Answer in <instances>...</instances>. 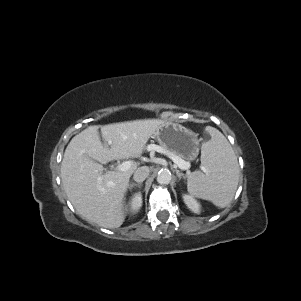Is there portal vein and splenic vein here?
I'll return each mask as SVG.
<instances>
[{
    "label": "portal vein and splenic vein",
    "mask_w": 301,
    "mask_h": 301,
    "mask_svg": "<svg viewBox=\"0 0 301 301\" xmlns=\"http://www.w3.org/2000/svg\"><path fill=\"white\" fill-rule=\"evenodd\" d=\"M153 150L157 152H163L162 148L158 145H151L150 146ZM173 162L182 170H188L190 168V163L182 160L177 156H172ZM132 166L131 161H125L117 166V170L119 171H126Z\"/></svg>",
    "instance_id": "portal-vein-and-splenic-vein-1"
}]
</instances>
